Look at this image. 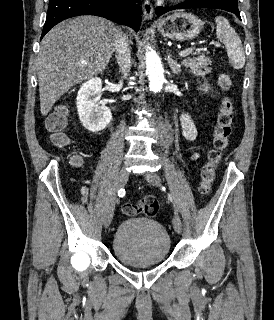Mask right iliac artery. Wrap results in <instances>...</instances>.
Wrapping results in <instances>:
<instances>
[{
	"label": "right iliac artery",
	"instance_id": "obj_1",
	"mask_svg": "<svg viewBox=\"0 0 274 320\" xmlns=\"http://www.w3.org/2000/svg\"><path fill=\"white\" fill-rule=\"evenodd\" d=\"M118 195H119V197H123V196L125 195V190L121 188V189L118 191Z\"/></svg>",
	"mask_w": 274,
	"mask_h": 320
}]
</instances>
